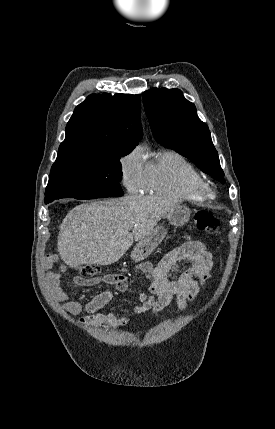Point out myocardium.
Returning a JSON list of instances; mask_svg holds the SVG:
<instances>
[{"label": "myocardium", "mask_w": 275, "mask_h": 429, "mask_svg": "<svg viewBox=\"0 0 275 429\" xmlns=\"http://www.w3.org/2000/svg\"><path fill=\"white\" fill-rule=\"evenodd\" d=\"M197 191L203 197V199H212V198L215 197V190H214V188L205 179H202L197 184Z\"/></svg>", "instance_id": "f54148a6"}]
</instances>
